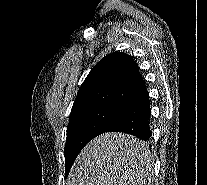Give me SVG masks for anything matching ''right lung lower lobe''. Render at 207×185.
Masks as SVG:
<instances>
[{"instance_id":"1","label":"right lung lower lobe","mask_w":207,"mask_h":185,"mask_svg":"<svg viewBox=\"0 0 207 185\" xmlns=\"http://www.w3.org/2000/svg\"><path fill=\"white\" fill-rule=\"evenodd\" d=\"M149 123V94L146 91L125 108L105 132H124L143 141H149L152 136Z\"/></svg>"}]
</instances>
